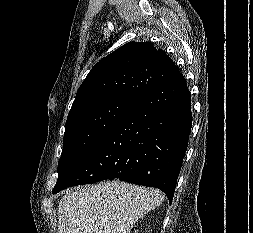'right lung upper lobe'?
Returning <instances> with one entry per match:
<instances>
[{"label":"right lung upper lobe","mask_w":253,"mask_h":233,"mask_svg":"<svg viewBox=\"0 0 253 233\" xmlns=\"http://www.w3.org/2000/svg\"><path fill=\"white\" fill-rule=\"evenodd\" d=\"M179 72L163 50L150 42H129L101 59L81 84L71 111L111 97L136 100Z\"/></svg>","instance_id":"cb5924a9"}]
</instances>
